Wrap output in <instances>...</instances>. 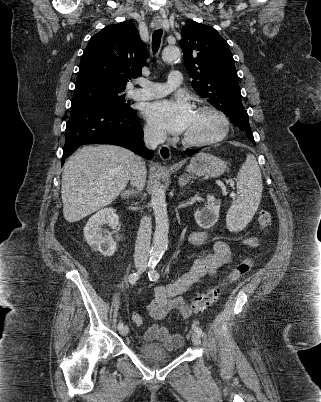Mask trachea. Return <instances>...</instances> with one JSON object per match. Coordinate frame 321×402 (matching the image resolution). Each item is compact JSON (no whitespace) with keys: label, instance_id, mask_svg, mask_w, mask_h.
Listing matches in <instances>:
<instances>
[{"label":"trachea","instance_id":"obj_1","mask_svg":"<svg viewBox=\"0 0 321 402\" xmlns=\"http://www.w3.org/2000/svg\"><path fill=\"white\" fill-rule=\"evenodd\" d=\"M162 29H157L153 32L152 35V50L153 52H157L159 47H160V43H161V38H162Z\"/></svg>","mask_w":321,"mask_h":402}]
</instances>
